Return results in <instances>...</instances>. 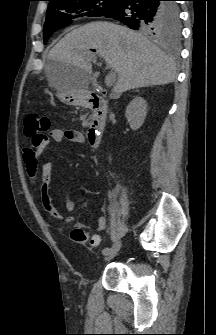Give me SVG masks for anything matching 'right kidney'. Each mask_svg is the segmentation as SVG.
I'll return each mask as SVG.
<instances>
[{
  "label": "right kidney",
  "instance_id": "ca27d5eb",
  "mask_svg": "<svg viewBox=\"0 0 216 335\" xmlns=\"http://www.w3.org/2000/svg\"><path fill=\"white\" fill-rule=\"evenodd\" d=\"M147 103L142 97H135L126 107L125 115L132 130L139 129L146 118Z\"/></svg>",
  "mask_w": 216,
  "mask_h": 335
}]
</instances>
